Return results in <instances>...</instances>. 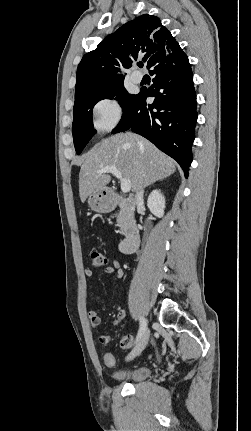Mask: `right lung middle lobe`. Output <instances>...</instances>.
I'll return each mask as SVG.
<instances>
[{"label":"right lung middle lobe","instance_id":"dd1d6c3e","mask_svg":"<svg viewBox=\"0 0 251 431\" xmlns=\"http://www.w3.org/2000/svg\"><path fill=\"white\" fill-rule=\"evenodd\" d=\"M134 96L126 91L123 81L75 96L72 133L74 146L78 155L96 132L92 123V109L94 105L100 100L115 98L124 110Z\"/></svg>","mask_w":251,"mask_h":431}]
</instances>
